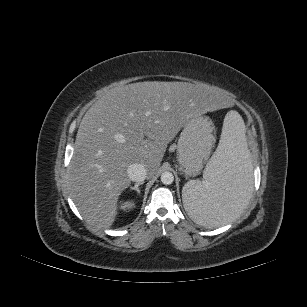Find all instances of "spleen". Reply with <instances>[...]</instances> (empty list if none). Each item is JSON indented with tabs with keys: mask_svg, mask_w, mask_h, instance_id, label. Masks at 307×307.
Returning a JSON list of instances; mask_svg holds the SVG:
<instances>
[{
	"mask_svg": "<svg viewBox=\"0 0 307 307\" xmlns=\"http://www.w3.org/2000/svg\"><path fill=\"white\" fill-rule=\"evenodd\" d=\"M245 132L242 117L235 111L228 112L204 179L190 180L183 186L184 208L197 224L220 227L233 221L247 206L253 180Z\"/></svg>",
	"mask_w": 307,
	"mask_h": 307,
	"instance_id": "3e777b00",
	"label": "spleen"
}]
</instances>
